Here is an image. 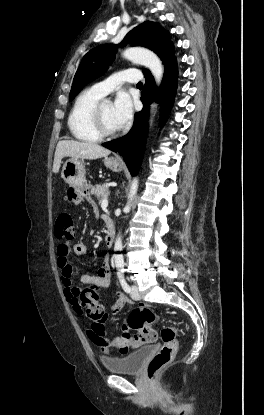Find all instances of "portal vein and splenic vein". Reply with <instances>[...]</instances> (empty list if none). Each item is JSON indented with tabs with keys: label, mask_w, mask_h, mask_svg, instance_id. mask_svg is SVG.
Masks as SVG:
<instances>
[{
	"label": "portal vein and splenic vein",
	"mask_w": 264,
	"mask_h": 415,
	"mask_svg": "<svg viewBox=\"0 0 264 415\" xmlns=\"http://www.w3.org/2000/svg\"><path fill=\"white\" fill-rule=\"evenodd\" d=\"M108 195H109V193H107V194L105 195L104 199H103V200H102V202H101V207H102V208H106V207L108 206Z\"/></svg>",
	"instance_id": "obj_1"
}]
</instances>
